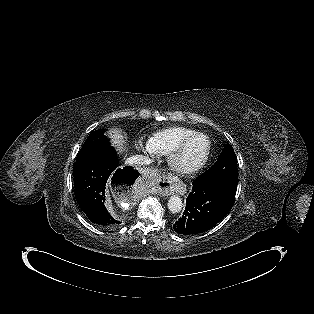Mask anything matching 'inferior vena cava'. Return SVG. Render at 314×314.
I'll use <instances>...</instances> for the list:
<instances>
[{
	"label": "inferior vena cava",
	"instance_id": "obj_1",
	"mask_svg": "<svg viewBox=\"0 0 314 314\" xmlns=\"http://www.w3.org/2000/svg\"><path fill=\"white\" fill-rule=\"evenodd\" d=\"M126 164L131 166H141L150 164V159L143 155H135L126 160Z\"/></svg>",
	"mask_w": 314,
	"mask_h": 314
}]
</instances>
